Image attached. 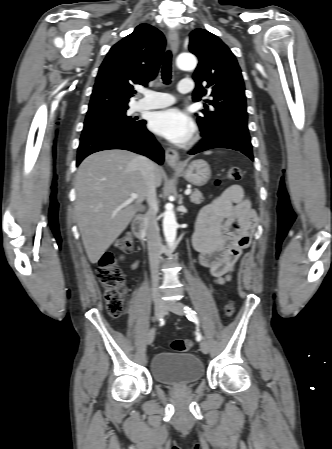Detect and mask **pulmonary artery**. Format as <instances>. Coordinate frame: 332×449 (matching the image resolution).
Returning <instances> with one entry per match:
<instances>
[{
  "mask_svg": "<svg viewBox=\"0 0 332 449\" xmlns=\"http://www.w3.org/2000/svg\"><path fill=\"white\" fill-rule=\"evenodd\" d=\"M177 89L180 93H189L192 91V86L188 80L179 82ZM175 102L174 97L165 92L147 91L144 92V97L136 104L138 110L163 108L172 105Z\"/></svg>",
  "mask_w": 332,
  "mask_h": 449,
  "instance_id": "e3ab8cb5",
  "label": "pulmonary artery"
}]
</instances>
